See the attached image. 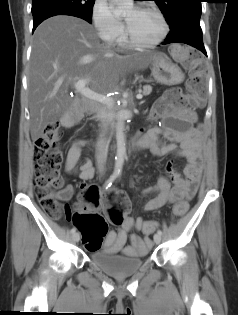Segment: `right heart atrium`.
<instances>
[{"mask_svg": "<svg viewBox=\"0 0 238 315\" xmlns=\"http://www.w3.org/2000/svg\"><path fill=\"white\" fill-rule=\"evenodd\" d=\"M91 19L98 36L107 43H113L123 33V22L113 13L105 0L94 1Z\"/></svg>", "mask_w": 238, "mask_h": 315, "instance_id": "right-heart-atrium-1", "label": "right heart atrium"}]
</instances>
